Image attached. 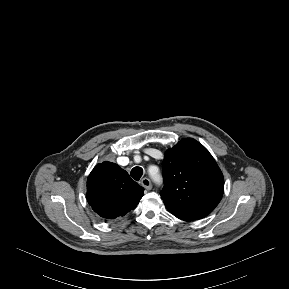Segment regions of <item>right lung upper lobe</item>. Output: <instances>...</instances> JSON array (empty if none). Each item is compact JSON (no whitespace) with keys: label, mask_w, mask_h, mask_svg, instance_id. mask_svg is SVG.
Returning a JSON list of instances; mask_svg holds the SVG:
<instances>
[{"label":"right lung upper lobe","mask_w":289,"mask_h":289,"mask_svg":"<svg viewBox=\"0 0 289 289\" xmlns=\"http://www.w3.org/2000/svg\"><path fill=\"white\" fill-rule=\"evenodd\" d=\"M87 201L101 217L115 219L133 210L144 195V188L112 162L97 164L87 180Z\"/></svg>","instance_id":"obj_1"}]
</instances>
